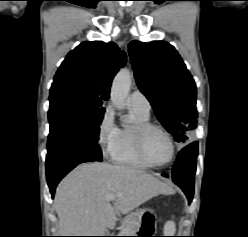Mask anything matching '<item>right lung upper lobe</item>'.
<instances>
[{
    "instance_id": "1",
    "label": "right lung upper lobe",
    "mask_w": 248,
    "mask_h": 237,
    "mask_svg": "<svg viewBox=\"0 0 248 237\" xmlns=\"http://www.w3.org/2000/svg\"><path fill=\"white\" fill-rule=\"evenodd\" d=\"M126 63L116 44L83 42L68 53L50 89V102L71 99L102 107L110 94L112 79Z\"/></svg>"
}]
</instances>
